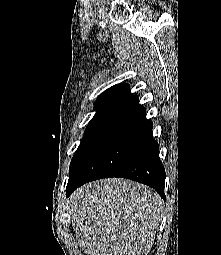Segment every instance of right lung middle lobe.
<instances>
[{
  "mask_svg": "<svg viewBox=\"0 0 221 255\" xmlns=\"http://www.w3.org/2000/svg\"><path fill=\"white\" fill-rule=\"evenodd\" d=\"M115 111H116L115 109H102L96 111V114L89 122L85 131V135L82 138L81 143L71 160L69 172H71L74 169L78 160L81 158L83 153L86 151L87 147L93 141L94 137L97 135V133L105 125V123L108 121V119L113 115Z\"/></svg>",
  "mask_w": 221,
  "mask_h": 255,
  "instance_id": "right-lung-middle-lobe-1",
  "label": "right lung middle lobe"
}]
</instances>
